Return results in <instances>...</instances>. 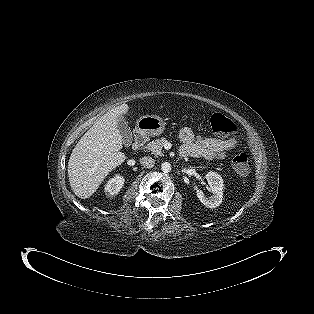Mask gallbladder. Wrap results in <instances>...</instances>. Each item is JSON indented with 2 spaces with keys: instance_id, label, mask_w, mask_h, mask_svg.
<instances>
[{
  "instance_id": "1",
  "label": "gallbladder",
  "mask_w": 314,
  "mask_h": 314,
  "mask_svg": "<svg viewBox=\"0 0 314 314\" xmlns=\"http://www.w3.org/2000/svg\"><path fill=\"white\" fill-rule=\"evenodd\" d=\"M118 130L122 136V141L125 146L131 145L133 141L132 131L128 125V122L123 116L118 119Z\"/></svg>"
}]
</instances>
